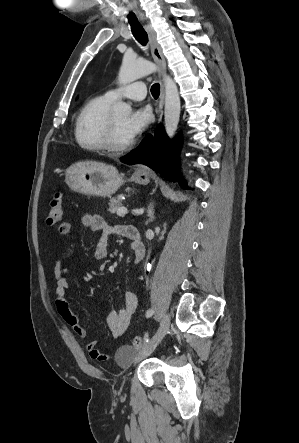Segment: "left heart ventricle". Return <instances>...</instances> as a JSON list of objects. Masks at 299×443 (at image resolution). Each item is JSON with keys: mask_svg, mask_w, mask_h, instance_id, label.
<instances>
[{"mask_svg": "<svg viewBox=\"0 0 299 443\" xmlns=\"http://www.w3.org/2000/svg\"><path fill=\"white\" fill-rule=\"evenodd\" d=\"M112 118H113V122L115 125L117 143L118 144H126L127 142L131 141V139H129L123 131V124H124V121L126 120V116L115 115V116H112Z\"/></svg>", "mask_w": 299, "mask_h": 443, "instance_id": "b2bd125f", "label": "left heart ventricle"}]
</instances>
